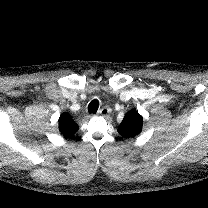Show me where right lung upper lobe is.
I'll list each match as a JSON object with an SVG mask.
<instances>
[{
    "instance_id": "cb5924a9",
    "label": "right lung upper lobe",
    "mask_w": 208,
    "mask_h": 208,
    "mask_svg": "<svg viewBox=\"0 0 208 208\" xmlns=\"http://www.w3.org/2000/svg\"><path fill=\"white\" fill-rule=\"evenodd\" d=\"M58 122L60 133L65 138L72 137L79 129L78 125L75 123L69 113H63Z\"/></svg>"
}]
</instances>
